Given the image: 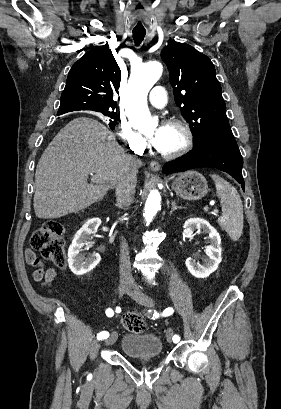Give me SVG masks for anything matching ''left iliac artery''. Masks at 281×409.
<instances>
[{"label": "left iliac artery", "instance_id": "44dca946", "mask_svg": "<svg viewBox=\"0 0 281 409\" xmlns=\"http://www.w3.org/2000/svg\"><path fill=\"white\" fill-rule=\"evenodd\" d=\"M172 313H173V309L172 308H167V309L164 310L162 315L163 316H169ZM158 316H159L158 313H156V312L153 313V318H157ZM179 340H180V337L178 335L173 336V342L174 343H177Z\"/></svg>", "mask_w": 281, "mask_h": 409}]
</instances>
